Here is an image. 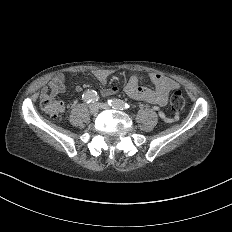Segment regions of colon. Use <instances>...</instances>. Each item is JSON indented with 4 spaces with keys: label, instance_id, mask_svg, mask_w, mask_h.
<instances>
[{
    "label": "colon",
    "instance_id": "5ec220e1",
    "mask_svg": "<svg viewBox=\"0 0 232 232\" xmlns=\"http://www.w3.org/2000/svg\"><path fill=\"white\" fill-rule=\"evenodd\" d=\"M172 102L175 103V108H170V113H183V108L185 107L184 90H171ZM40 106L46 110V113H61L60 105H57V101L53 97L41 98ZM50 119H59V114H50Z\"/></svg>",
    "mask_w": 232,
    "mask_h": 232
}]
</instances>
